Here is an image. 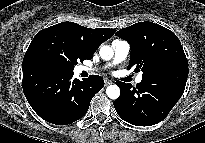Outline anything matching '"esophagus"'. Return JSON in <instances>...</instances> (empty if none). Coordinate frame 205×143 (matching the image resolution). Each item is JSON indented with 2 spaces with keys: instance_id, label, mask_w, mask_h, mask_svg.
I'll use <instances>...</instances> for the list:
<instances>
[{
  "instance_id": "34e87169",
  "label": "esophagus",
  "mask_w": 205,
  "mask_h": 143,
  "mask_svg": "<svg viewBox=\"0 0 205 143\" xmlns=\"http://www.w3.org/2000/svg\"><path fill=\"white\" fill-rule=\"evenodd\" d=\"M113 82L111 80H105V86H108L110 84H112Z\"/></svg>"
}]
</instances>
